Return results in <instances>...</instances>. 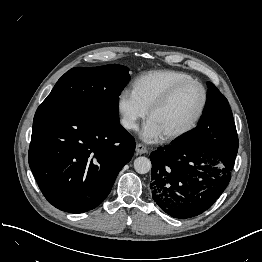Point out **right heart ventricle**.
I'll list each match as a JSON object with an SVG mask.
<instances>
[{"mask_svg": "<svg viewBox=\"0 0 262 262\" xmlns=\"http://www.w3.org/2000/svg\"><path fill=\"white\" fill-rule=\"evenodd\" d=\"M192 79L190 75L172 70L153 71L139 77L133 85V94L148 111L174 85Z\"/></svg>", "mask_w": 262, "mask_h": 262, "instance_id": "1", "label": "right heart ventricle"}]
</instances>
